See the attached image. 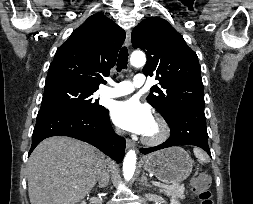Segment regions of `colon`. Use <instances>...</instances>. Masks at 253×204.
Returning a JSON list of instances; mask_svg holds the SVG:
<instances>
[{"label": "colon", "mask_w": 253, "mask_h": 204, "mask_svg": "<svg viewBox=\"0 0 253 204\" xmlns=\"http://www.w3.org/2000/svg\"><path fill=\"white\" fill-rule=\"evenodd\" d=\"M210 184L211 178L207 173H201L192 180V191L198 197L200 204H214Z\"/></svg>", "instance_id": "colon-1"}]
</instances>
